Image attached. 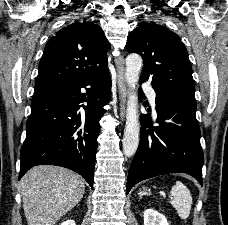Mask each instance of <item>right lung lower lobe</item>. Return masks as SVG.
<instances>
[{"label": "right lung lower lobe", "instance_id": "obj_1", "mask_svg": "<svg viewBox=\"0 0 228 225\" xmlns=\"http://www.w3.org/2000/svg\"><path fill=\"white\" fill-rule=\"evenodd\" d=\"M110 88L106 69L77 84L34 94L19 179L33 166L57 165L77 172L93 188L99 121L110 100ZM82 102H87L82 105L84 112H80Z\"/></svg>", "mask_w": 228, "mask_h": 225}]
</instances>
